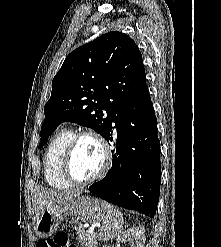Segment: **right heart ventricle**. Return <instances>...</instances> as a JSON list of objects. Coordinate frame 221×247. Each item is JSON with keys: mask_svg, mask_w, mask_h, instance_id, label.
I'll return each instance as SVG.
<instances>
[{"mask_svg": "<svg viewBox=\"0 0 221 247\" xmlns=\"http://www.w3.org/2000/svg\"><path fill=\"white\" fill-rule=\"evenodd\" d=\"M67 128L59 130L50 141L44 156V175L46 182L53 188L67 189L72 186L64 176L62 162L65 150L73 137Z\"/></svg>", "mask_w": 221, "mask_h": 247, "instance_id": "1", "label": "right heart ventricle"}]
</instances>
